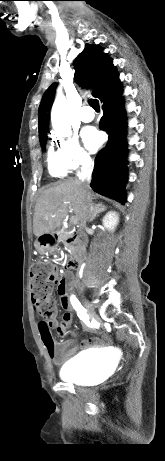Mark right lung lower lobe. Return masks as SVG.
<instances>
[{
  "mask_svg": "<svg viewBox=\"0 0 165 461\" xmlns=\"http://www.w3.org/2000/svg\"><path fill=\"white\" fill-rule=\"evenodd\" d=\"M121 93L102 105L103 117L99 127L107 132L109 139L95 158L90 186L95 192L123 204L126 201L124 185L127 182V143L126 116Z\"/></svg>",
  "mask_w": 165,
  "mask_h": 461,
  "instance_id": "obj_1",
  "label": "right lung lower lobe"
}]
</instances>
